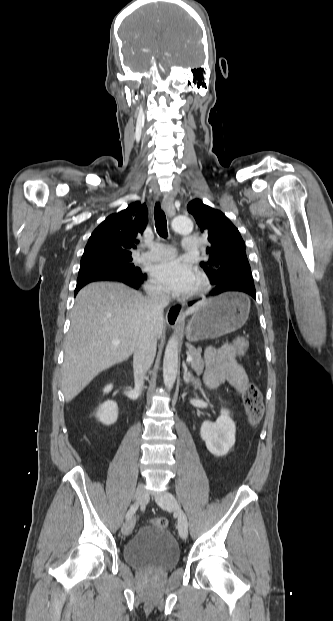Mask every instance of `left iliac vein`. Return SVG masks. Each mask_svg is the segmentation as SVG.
<instances>
[{
    "instance_id": "4c4485c4",
    "label": "left iliac vein",
    "mask_w": 333,
    "mask_h": 621,
    "mask_svg": "<svg viewBox=\"0 0 333 621\" xmlns=\"http://www.w3.org/2000/svg\"><path fill=\"white\" fill-rule=\"evenodd\" d=\"M157 504L169 511H175L178 517L177 528L180 536L183 539H186L188 536V520L186 514L178 505L176 498L169 492H164L163 494L156 497Z\"/></svg>"
}]
</instances>
